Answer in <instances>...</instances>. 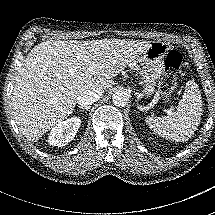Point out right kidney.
I'll list each match as a JSON object with an SVG mask.
<instances>
[{
    "instance_id": "obj_1",
    "label": "right kidney",
    "mask_w": 215,
    "mask_h": 215,
    "mask_svg": "<svg viewBox=\"0 0 215 215\" xmlns=\"http://www.w3.org/2000/svg\"><path fill=\"white\" fill-rule=\"evenodd\" d=\"M81 125L79 117H71L65 121H59L54 125L48 135V144L63 147L71 142L76 136Z\"/></svg>"
}]
</instances>
